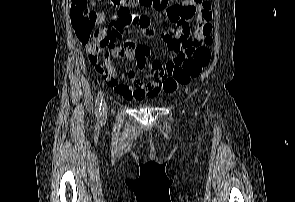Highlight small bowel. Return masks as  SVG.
Returning <instances> with one entry per match:
<instances>
[{"instance_id":"c3829d8e","label":"small bowel","mask_w":295,"mask_h":202,"mask_svg":"<svg viewBox=\"0 0 295 202\" xmlns=\"http://www.w3.org/2000/svg\"><path fill=\"white\" fill-rule=\"evenodd\" d=\"M93 6L94 0H72L73 10L85 14L96 24L103 23L106 14L96 11ZM155 9L166 13L168 27L161 32V39L165 44L164 56L155 54L149 45H137L129 37L125 38L122 47H115L116 36L125 33L128 26L139 25L142 35L147 39L155 36L156 30L151 25L150 18L138 12L131 13L127 27L126 21L121 19H113L110 25L100 26V35L107 39L103 47L106 49L104 55H99V48L86 47L89 62L97 74L102 76L116 93L127 99L141 100L146 96L152 97L159 93L162 89L163 72L167 65L175 63L182 51L200 46L203 37L212 30L209 0H181L178 4ZM112 58L136 60L141 70L146 69L149 60L150 67L149 70L144 71L145 75L142 79L136 78L132 70L129 71V77H117L114 70L115 61Z\"/></svg>"}]
</instances>
